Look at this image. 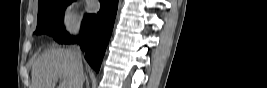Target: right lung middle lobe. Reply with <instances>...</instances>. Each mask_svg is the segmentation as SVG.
<instances>
[{
    "instance_id": "1",
    "label": "right lung middle lobe",
    "mask_w": 267,
    "mask_h": 88,
    "mask_svg": "<svg viewBox=\"0 0 267 88\" xmlns=\"http://www.w3.org/2000/svg\"><path fill=\"white\" fill-rule=\"evenodd\" d=\"M75 0H41L38 2L37 28L34 34L59 36L65 31L63 14L65 8Z\"/></svg>"
}]
</instances>
